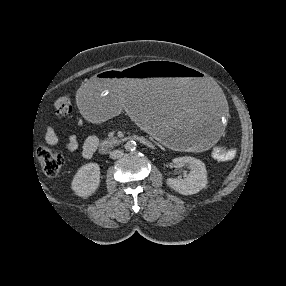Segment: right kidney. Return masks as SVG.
Listing matches in <instances>:
<instances>
[{
	"mask_svg": "<svg viewBox=\"0 0 286 286\" xmlns=\"http://www.w3.org/2000/svg\"><path fill=\"white\" fill-rule=\"evenodd\" d=\"M100 167L97 163H87L80 167L72 180V190L81 197L90 196L99 187Z\"/></svg>",
	"mask_w": 286,
	"mask_h": 286,
	"instance_id": "right-kidney-1",
	"label": "right kidney"
}]
</instances>
